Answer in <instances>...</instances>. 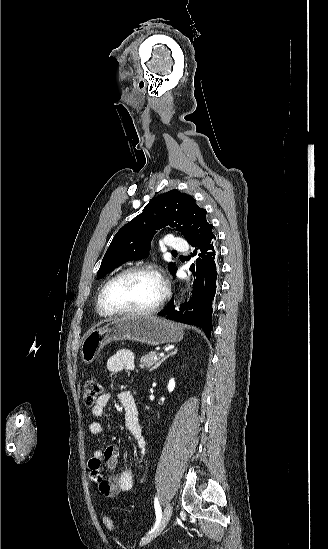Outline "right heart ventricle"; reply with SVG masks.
<instances>
[{
    "label": "right heart ventricle",
    "instance_id": "1",
    "mask_svg": "<svg viewBox=\"0 0 328 549\" xmlns=\"http://www.w3.org/2000/svg\"><path fill=\"white\" fill-rule=\"evenodd\" d=\"M99 306H100V304H99V301L97 300L96 310H97L98 315H99L100 317H102V318H109L108 316L104 315V314L101 312Z\"/></svg>",
    "mask_w": 328,
    "mask_h": 549
}]
</instances>
